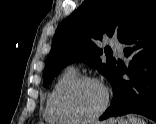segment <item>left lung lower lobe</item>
<instances>
[{
  "instance_id": "obj_1",
  "label": "left lung lower lobe",
  "mask_w": 156,
  "mask_h": 124,
  "mask_svg": "<svg viewBox=\"0 0 156 124\" xmlns=\"http://www.w3.org/2000/svg\"><path fill=\"white\" fill-rule=\"evenodd\" d=\"M122 43L128 45L130 70L117 64L110 80L113 99L100 120L138 113L156 122V0ZM124 72L129 80L122 78Z\"/></svg>"
}]
</instances>
